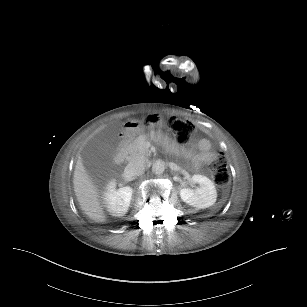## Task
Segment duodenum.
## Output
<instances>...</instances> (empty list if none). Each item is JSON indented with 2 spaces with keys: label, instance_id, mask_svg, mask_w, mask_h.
Segmentation results:
<instances>
[{
  "label": "duodenum",
  "instance_id": "410a0bca",
  "mask_svg": "<svg viewBox=\"0 0 307 307\" xmlns=\"http://www.w3.org/2000/svg\"><path fill=\"white\" fill-rule=\"evenodd\" d=\"M123 130L126 133H124L122 135V144L123 145L120 146L119 152H117V154L115 155V162L116 163H121L123 161L124 154L127 153V151H128V148L125 145L128 144L132 139V135L129 133L132 130L131 125H129V124L124 125Z\"/></svg>",
  "mask_w": 307,
  "mask_h": 307
}]
</instances>
